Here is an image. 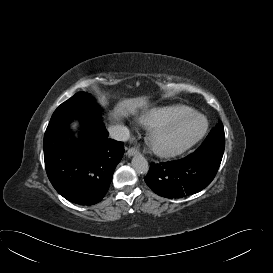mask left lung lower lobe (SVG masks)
Returning <instances> with one entry per match:
<instances>
[{"label":"left lung lower lobe","instance_id":"obj_1","mask_svg":"<svg viewBox=\"0 0 273 273\" xmlns=\"http://www.w3.org/2000/svg\"><path fill=\"white\" fill-rule=\"evenodd\" d=\"M221 160L206 153L193 152L183 159L151 163L146 184L166 198H181L200 192L214 179Z\"/></svg>","mask_w":273,"mask_h":273}]
</instances>
